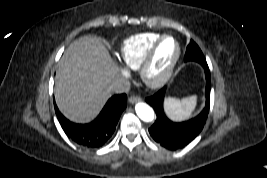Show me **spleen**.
I'll return each mask as SVG.
<instances>
[{
  "mask_svg": "<svg viewBox=\"0 0 267 178\" xmlns=\"http://www.w3.org/2000/svg\"><path fill=\"white\" fill-rule=\"evenodd\" d=\"M164 104L165 110L172 120L182 121L192 115L197 104V96L193 95L183 99L167 98Z\"/></svg>",
  "mask_w": 267,
  "mask_h": 178,
  "instance_id": "3e777b00",
  "label": "spleen"
}]
</instances>
